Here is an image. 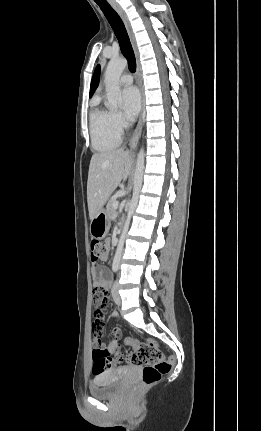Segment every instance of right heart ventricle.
I'll use <instances>...</instances> for the list:
<instances>
[{
    "mask_svg": "<svg viewBox=\"0 0 261 431\" xmlns=\"http://www.w3.org/2000/svg\"><path fill=\"white\" fill-rule=\"evenodd\" d=\"M90 135L93 148L98 152H109L121 143V133L112 124L111 112L95 100L90 112Z\"/></svg>",
    "mask_w": 261,
    "mask_h": 431,
    "instance_id": "e07e8e85",
    "label": "right heart ventricle"
}]
</instances>
